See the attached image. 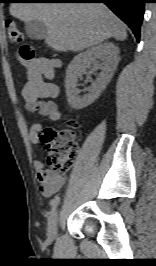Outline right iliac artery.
Wrapping results in <instances>:
<instances>
[{
	"label": "right iliac artery",
	"mask_w": 156,
	"mask_h": 266,
	"mask_svg": "<svg viewBox=\"0 0 156 266\" xmlns=\"http://www.w3.org/2000/svg\"><path fill=\"white\" fill-rule=\"evenodd\" d=\"M60 198L58 196H56L52 201H51V211H55V209L57 208L58 204H59Z\"/></svg>",
	"instance_id": "right-iliac-artery-1"
}]
</instances>
